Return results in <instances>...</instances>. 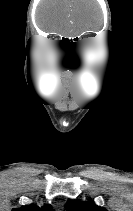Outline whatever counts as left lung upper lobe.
Instances as JSON below:
<instances>
[{
    "mask_svg": "<svg viewBox=\"0 0 133 211\" xmlns=\"http://www.w3.org/2000/svg\"><path fill=\"white\" fill-rule=\"evenodd\" d=\"M68 211H107V209L97 206L93 201L82 202L69 200L67 202Z\"/></svg>",
    "mask_w": 133,
    "mask_h": 211,
    "instance_id": "5c2ea615",
    "label": "left lung upper lobe"
}]
</instances>
